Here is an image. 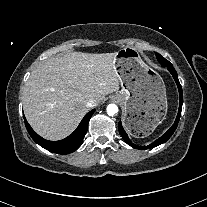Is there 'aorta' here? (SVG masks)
Instances as JSON below:
<instances>
[{"mask_svg": "<svg viewBox=\"0 0 207 207\" xmlns=\"http://www.w3.org/2000/svg\"><path fill=\"white\" fill-rule=\"evenodd\" d=\"M106 110H107V114L110 116H113L118 113V107L115 104H109Z\"/></svg>", "mask_w": 207, "mask_h": 207, "instance_id": "obj_1", "label": "aorta"}]
</instances>
